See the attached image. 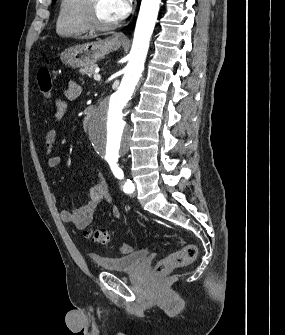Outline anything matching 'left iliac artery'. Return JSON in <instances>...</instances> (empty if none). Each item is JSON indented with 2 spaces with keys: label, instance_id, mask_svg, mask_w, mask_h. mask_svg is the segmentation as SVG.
<instances>
[{
  "label": "left iliac artery",
  "instance_id": "44dca946",
  "mask_svg": "<svg viewBox=\"0 0 285 335\" xmlns=\"http://www.w3.org/2000/svg\"><path fill=\"white\" fill-rule=\"evenodd\" d=\"M117 161H118L117 159H112V160H109L108 163L110 165V168L114 176L121 180L124 178V174H123L122 169L118 167ZM122 188L125 193H132L135 189L134 184L132 183L130 179L126 180Z\"/></svg>",
  "mask_w": 285,
  "mask_h": 335
}]
</instances>
